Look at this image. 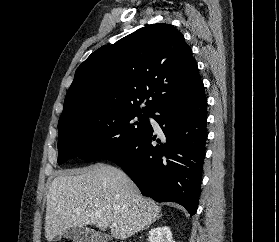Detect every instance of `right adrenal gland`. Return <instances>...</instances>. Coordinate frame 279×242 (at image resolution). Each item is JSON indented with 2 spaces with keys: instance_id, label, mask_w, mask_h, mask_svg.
Wrapping results in <instances>:
<instances>
[{
  "instance_id": "obj_1",
  "label": "right adrenal gland",
  "mask_w": 279,
  "mask_h": 242,
  "mask_svg": "<svg viewBox=\"0 0 279 242\" xmlns=\"http://www.w3.org/2000/svg\"><path fill=\"white\" fill-rule=\"evenodd\" d=\"M161 216H162V215H159L157 218H160ZM149 225H150V224H149ZM149 225L146 227V229L149 228Z\"/></svg>"
}]
</instances>
